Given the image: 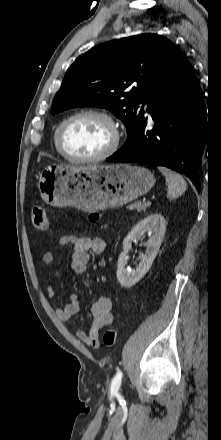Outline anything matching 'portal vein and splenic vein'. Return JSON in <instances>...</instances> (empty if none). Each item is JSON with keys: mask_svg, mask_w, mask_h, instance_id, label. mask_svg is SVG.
I'll return each instance as SVG.
<instances>
[{"mask_svg": "<svg viewBox=\"0 0 221 440\" xmlns=\"http://www.w3.org/2000/svg\"><path fill=\"white\" fill-rule=\"evenodd\" d=\"M146 204H147V205H150V204H151V202H150V201H147V202H146Z\"/></svg>", "mask_w": 221, "mask_h": 440, "instance_id": "obj_1", "label": "portal vein and splenic vein"}]
</instances>
